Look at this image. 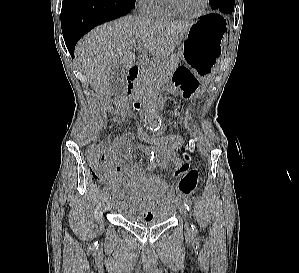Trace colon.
Masks as SVG:
<instances>
[{
  "label": "colon",
  "instance_id": "obj_1",
  "mask_svg": "<svg viewBox=\"0 0 299 273\" xmlns=\"http://www.w3.org/2000/svg\"><path fill=\"white\" fill-rule=\"evenodd\" d=\"M183 141L181 133L168 135L164 137H153L145 133H139L131 140V144L138 150L146 149H165L176 147ZM128 140L123 136L116 137L96 147H92L88 151L89 165L92 174L97 179H104L106 176V166L104 156L107 151L121 150L126 147ZM199 171L191 169L186 172L178 183V191L180 194L188 196L192 194L198 183Z\"/></svg>",
  "mask_w": 299,
  "mask_h": 273
}]
</instances>
